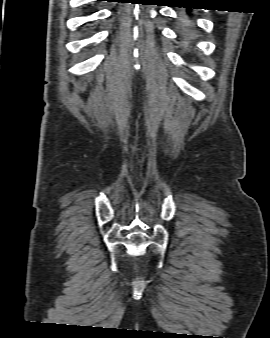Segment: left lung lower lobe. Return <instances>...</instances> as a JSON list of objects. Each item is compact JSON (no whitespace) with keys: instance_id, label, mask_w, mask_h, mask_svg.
Returning a JSON list of instances; mask_svg holds the SVG:
<instances>
[{"instance_id":"left-lung-lower-lobe-1","label":"left lung lower lobe","mask_w":270,"mask_h":338,"mask_svg":"<svg viewBox=\"0 0 270 338\" xmlns=\"http://www.w3.org/2000/svg\"><path fill=\"white\" fill-rule=\"evenodd\" d=\"M186 8V7H184ZM191 11L190 8L187 9V12L189 13ZM181 26H182V30H183V36H189L191 34V27L188 23H186V21H181Z\"/></svg>"}]
</instances>
